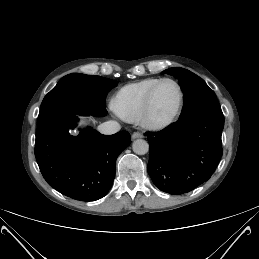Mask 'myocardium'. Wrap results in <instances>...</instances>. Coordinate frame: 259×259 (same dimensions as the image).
<instances>
[{
  "mask_svg": "<svg viewBox=\"0 0 259 259\" xmlns=\"http://www.w3.org/2000/svg\"><path fill=\"white\" fill-rule=\"evenodd\" d=\"M164 82H170L177 88L178 104H177L176 110L169 118L165 120H155L152 117L154 95L157 88ZM183 105H184V93L180 84L172 78H161L151 87V89L149 90L146 96L144 107L140 116V122L145 128L150 130L165 129L170 125H172L179 118L183 109Z\"/></svg>",
  "mask_w": 259,
  "mask_h": 259,
  "instance_id": "myocardium-1",
  "label": "myocardium"
}]
</instances>
